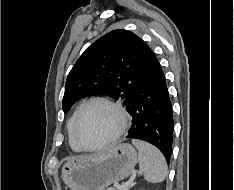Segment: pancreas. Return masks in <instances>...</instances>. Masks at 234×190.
I'll return each mask as SVG.
<instances>
[{"label": "pancreas", "mask_w": 234, "mask_h": 190, "mask_svg": "<svg viewBox=\"0 0 234 190\" xmlns=\"http://www.w3.org/2000/svg\"><path fill=\"white\" fill-rule=\"evenodd\" d=\"M107 190H116L115 188H108Z\"/></svg>", "instance_id": "cf45deb5"}]
</instances>
